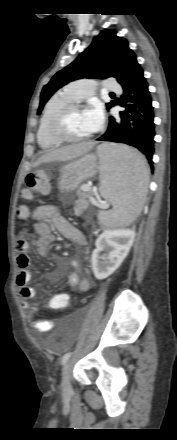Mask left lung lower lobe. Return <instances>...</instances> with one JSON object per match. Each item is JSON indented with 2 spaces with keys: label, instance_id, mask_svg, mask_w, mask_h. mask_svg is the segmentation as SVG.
Wrapping results in <instances>:
<instances>
[{
  "label": "left lung lower lobe",
  "instance_id": "left-lung-lower-lobe-1",
  "mask_svg": "<svg viewBox=\"0 0 177 440\" xmlns=\"http://www.w3.org/2000/svg\"><path fill=\"white\" fill-rule=\"evenodd\" d=\"M123 90L121 106L126 109L120 112L121 119L115 120L111 116L106 133L97 140L120 142L135 147L145 156L153 170L154 112L142 68L135 72L130 82L123 86Z\"/></svg>",
  "mask_w": 177,
  "mask_h": 440
}]
</instances>
